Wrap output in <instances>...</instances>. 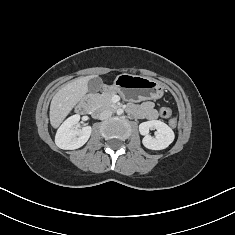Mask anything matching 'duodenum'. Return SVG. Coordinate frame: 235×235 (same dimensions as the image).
I'll return each instance as SVG.
<instances>
[{
	"mask_svg": "<svg viewBox=\"0 0 235 235\" xmlns=\"http://www.w3.org/2000/svg\"><path fill=\"white\" fill-rule=\"evenodd\" d=\"M93 95L88 94L78 105L77 111L80 113H90L93 111L92 108Z\"/></svg>",
	"mask_w": 235,
	"mask_h": 235,
	"instance_id": "410a0bca",
	"label": "duodenum"
}]
</instances>
